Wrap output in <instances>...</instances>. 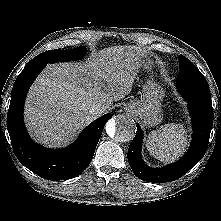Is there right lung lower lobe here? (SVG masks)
<instances>
[{
    "label": "right lung lower lobe",
    "mask_w": 221,
    "mask_h": 221,
    "mask_svg": "<svg viewBox=\"0 0 221 221\" xmlns=\"http://www.w3.org/2000/svg\"><path fill=\"white\" fill-rule=\"evenodd\" d=\"M46 64H27L17 77L7 115V129L17 159L42 178L56 181L80 175L91 162L95 148L111 113L87 126L68 148L51 150L36 144L23 122V107L29 87Z\"/></svg>",
    "instance_id": "right-lung-lower-lobe-1"
}]
</instances>
